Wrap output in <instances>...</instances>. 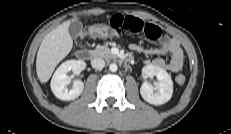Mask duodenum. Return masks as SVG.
<instances>
[{"label": "duodenum", "instance_id": "1", "mask_svg": "<svg viewBox=\"0 0 231 134\" xmlns=\"http://www.w3.org/2000/svg\"><path fill=\"white\" fill-rule=\"evenodd\" d=\"M77 57L80 60H88L91 57V53L87 49H80V50L77 51ZM124 60L126 62H129L130 58L129 57H125Z\"/></svg>", "mask_w": 231, "mask_h": 134}]
</instances>
